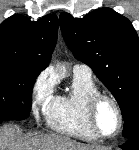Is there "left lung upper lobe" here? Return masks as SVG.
Wrapping results in <instances>:
<instances>
[{"instance_id":"1","label":"left lung upper lobe","mask_w":139,"mask_h":150,"mask_svg":"<svg viewBox=\"0 0 139 150\" xmlns=\"http://www.w3.org/2000/svg\"><path fill=\"white\" fill-rule=\"evenodd\" d=\"M59 20L73 55L92 68L117 100L125 139L139 137V38L131 22L110 8L80 19L64 12Z\"/></svg>"}]
</instances>
